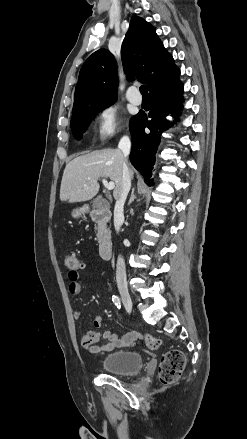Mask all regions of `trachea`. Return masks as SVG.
<instances>
[{"mask_svg": "<svg viewBox=\"0 0 247 439\" xmlns=\"http://www.w3.org/2000/svg\"><path fill=\"white\" fill-rule=\"evenodd\" d=\"M140 92L143 96H148V91H147V86L146 85H142L140 87Z\"/></svg>", "mask_w": 247, "mask_h": 439, "instance_id": "3493384b", "label": "trachea"}]
</instances>
